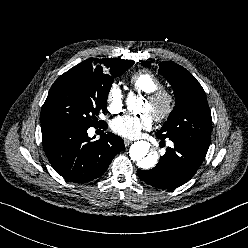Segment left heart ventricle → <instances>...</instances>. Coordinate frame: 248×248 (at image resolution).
<instances>
[{
    "label": "left heart ventricle",
    "instance_id": "b2bd125f",
    "mask_svg": "<svg viewBox=\"0 0 248 248\" xmlns=\"http://www.w3.org/2000/svg\"><path fill=\"white\" fill-rule=\"evenodd\" d=\"M154 110V107L150 104V102L146 100L142 111L152 115L154 113Z\"/></svg>",
    "mask_w": 248,
    "mask_h": 248
}]
</instances>
